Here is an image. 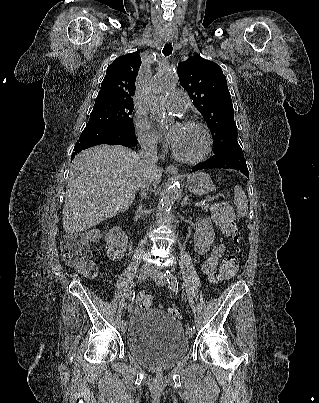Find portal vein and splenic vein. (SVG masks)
<instances>
[{
	"label": "portal vein and splenic vein",
	"mask_w": 319,
	"mask_h": 403,
	"mask_svg": "<svg viewBox=\"0 0 319 403\" xmlns=\"http://www.w3.org/2000/svg\"><path fill=\"white\" fill-rule=\"evenodd\" d=\"M207 201H213V198H205V199H203L202 201H200V202H198V203H196V206H201V205H204Z\"/></svg>",
	"instance_id": "18ae733b"
}]
</instances>
